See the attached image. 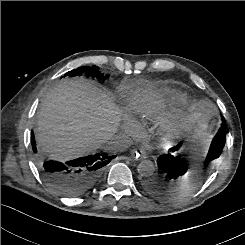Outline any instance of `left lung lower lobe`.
I'll use <instances>...</instances> for the list:
<instances>
[{"mask_svg":"<svg viewBox=\"0 0 245 245\" xmlns=\"http://www.w3.org/2000/svg\"><path fill=\"white\" fill-rule=\"evenodd\" d=\"M226 140V123L224 118L222 119V124L218 130L216 136L214 137L209 151L203 162L204 165L209 164L213 160L217 159L224 148ZM181 143L170 149L172 153L160 155L157 159V165L159 167V174L161 178L169 182L170 184H178L182 182L187 174V165L175 155V152L181 148ZM160 182L155 177H150L144 182V188L147 192L152 194L159 193Z\"/></svg>","mask_w":245,"mask_h":245,"instance_id":"left-lung-lower-lobe-1","label":"left lung lower lobe"}]
</instances>
